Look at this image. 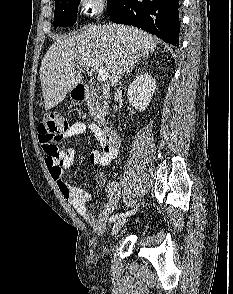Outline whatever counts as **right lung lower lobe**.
Wrapping results in <instances>:
<instances>
[{"instance_id":"obj_1","label":"right lung lower lobe","mask_w":233,"mask_h":294,"mask_svg":"<svg viewBox=\"0 0 233 294\" xmlns=\"http://www.w3.org/2000/svg\"><path fill=\"white\" fill-rule=\"evenodd\" d=\"M108 14L116 23L136 26L179 45V0H116Z\"/></svg>"}]
</instances>
